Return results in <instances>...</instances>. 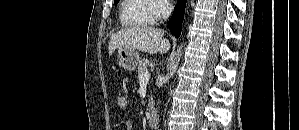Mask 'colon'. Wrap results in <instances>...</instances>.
Instances as JSON below:
<instances>
[{"label":"colon","mask_w":299,"mask_h":130,"mask_svg":"<svg viewBox=\"0 0 299 130\" xmlns=\"http://www.w3.org/2000/svg\"><path fill=\"white\" fill-rule=\"evenodd\" d=\"M117 104L120 109H122V110L127 109L128 105H129L128 98L125 95H120L117 98Z\"/></svg>","instance_id":"1"}]
</instances>
